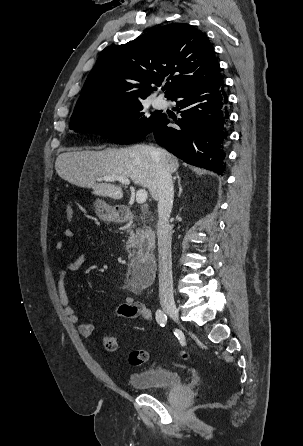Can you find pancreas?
<instances>
[{
    "instance_id": "obj_1",
    "label": "pancreas",
    "mask_w": 303,
    "mask_h": 446,
    "mask_svg": "<svg viewBox=\"0 0 303 446\" xmlns=\"http://www.w3.org/2000/svg\"><path fill=\"white\" fill-rule=\"evenodd\" d=\"M135 225H127L126 229L129 232V238L126 244L129 256L135 255L136 250L138 254L151 251L155 247V233L148 226L142 228H135Z\"/></svg>"
}]
</instances>
